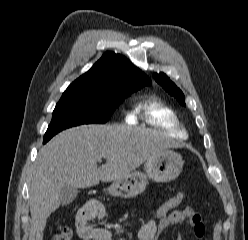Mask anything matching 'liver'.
<instances>
[{
    "label": "liver",
    "instance_id": "1",
    "mask_svg": "<svg viewBox=\"0 0 248 240\" xmlns=\"http://www.w3.org/2000/svg\"><path fill=\"white\" fill-rule=\"evenodd\" d=\"M179 145L163 134L126 125H82L56 135L39 151L31 174L30 213L36 240L61 203L65 185L88 188L127 177L145 161ZM106 163L97 166V162Z\"/></svg>",
    "mask_w": 248,
    "mask_h": 240
}]
</instances>
